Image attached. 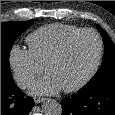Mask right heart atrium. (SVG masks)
Returning a JSON list of instances; mask_svg holds the SVG:
<instances>
[{
	"label": "right heart atrium",
	"mask_w": 115,
	"mask_h": 115,
	"mask_svg": "<svg viewBox=\"0 0 115 115\" xmlns=\"http://www.w3.org/2000/svg\"><path fill=\"white\" fill-rule=\"evenodd\" d=\"M8 64L14 79L23 89L28 88L43 70L42 65L36 61L30 50L19 45H13L10 48Z\"/></svg>",
	"instance_id": "obj_1"
}]
</instances>
